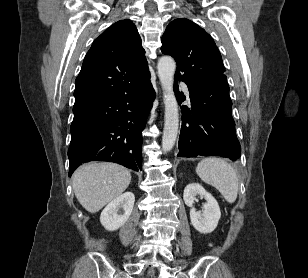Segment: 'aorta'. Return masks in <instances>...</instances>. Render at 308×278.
Masks as SVG:
<instances>
[{
    "label": "aorta",
    "instance_id": "1",
    "mask_svg": "<svg viewBox=\"0 0 308 278\" xmlns=\"http://www.w3.org/2000/svg\"><path fill=\"white\" fill-rule=\"evenodd\" d=\"M158 77L164 92L165 122L162 136V149L170 151L176 141L179 126L178 103L173 91L176 63L170 56H163L158 61Z\"/></svg>",
    "mask_w": 308,
    "mask_h": 278
}]
</instances>
